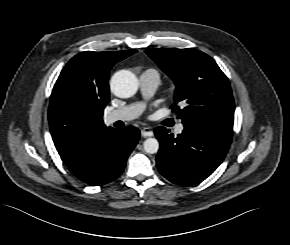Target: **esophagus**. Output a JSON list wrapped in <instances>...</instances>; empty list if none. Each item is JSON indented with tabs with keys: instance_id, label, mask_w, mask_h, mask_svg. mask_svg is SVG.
Segmentation results:
<instances>
[{
	"instance_id": "esophagus-1",
	"label": "esophagus",
	"mask_w": 290,
	"mask_h": 245,
	"mask_svg": "<svg viewBox=\"0 0 290 245\" xmlns=\"http://www.w3.org/2000/svg\"><path fill=\"white\" fill-rule=\"evenodd\" d=\"M141 135L144 138L151 137V136H153V131L150 127H144L141 129Z\"/></svg>"
}]
</instances>
